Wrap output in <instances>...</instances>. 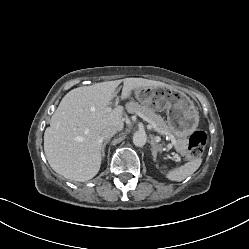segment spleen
Returning <instances> with one entry per match:
<instances>
[{
  "mask_svg": "<svg viewBox=\"0 0 249 249\" xmlns=\"http://www.w3.org/2000/svg\"><path fill=\"white\" fill-rule=\"evenodd\" d=\"M201 163L202 159L196 158L178 168L168 171L166 177L172 181H182L192 175L200 167Z\"/></svg>",
  "mask_w": 249,
  "mask_h": 249,
  "instance_id": "1",
  "label": "spleen"
}]
</instances>
